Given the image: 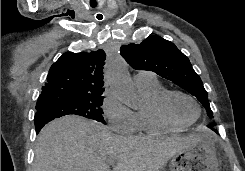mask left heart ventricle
<instances>
[{"label": "left heart ventricle", "mask_w": 245, "mask_h": 171, "mask_svg": "<svg viewBox=\"0 0 245 171\" xmlns=\"http://www.w3.org/2000/svg\"><path fill=\"white\" fill-rule=\"evenodd\" d=\"M169 110L176 120L183 123H189L197 116L195 105L189 99L180 95H175L170 99Z\"/></svg>", "instance_id": "obj_1"}]
</instances>
